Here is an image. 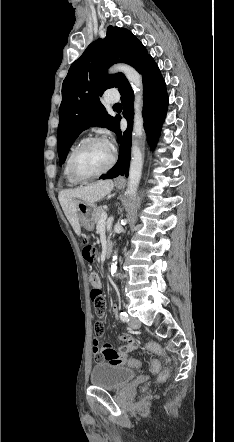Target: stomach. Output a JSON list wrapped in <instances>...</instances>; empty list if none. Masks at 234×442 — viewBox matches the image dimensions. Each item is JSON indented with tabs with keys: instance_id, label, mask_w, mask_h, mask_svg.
Returning a JSON list of instances; mask_svg holds the SVG:
<instances>
[{
	"instance_id": "stomach-1",
	"label": "stomach",
	"mask_w": 234,
	"mask_h": 442,
	"mask_svg": "<svg viewBox=\"0 0 234 442\" xmlns=\"http://www.w3.org/2000/svg\"><path fill=\"white\" fill-rule=\"evenodd\" d=\"M117 188H121L122 184H116ZM79 222L83 228L88 231L94 229L96 205L94 203L81 202L77 205Z\"/></svg>"
}]
</instances>
